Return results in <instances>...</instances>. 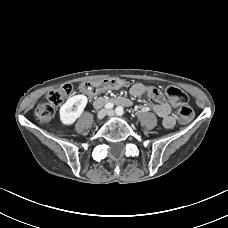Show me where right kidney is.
<instances>
[{"mask_svg":"<svg viewBox=\"0 0 228 228\" xmlns=\"http://www.w3.org/2000/svg\"><path fill=\"white\" fill-rule=\"evenodd\" d=\"M88 99L85 95L70 97L60 108V121L63 125H72L81 116Z\"/></svg>","mask_w":228,"mask_h":228,"instance_id":"1","label":"right kidney"}]
</instances>
